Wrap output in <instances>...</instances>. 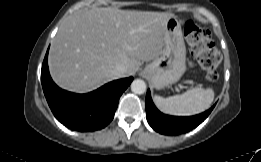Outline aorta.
I'll use <instances>...</instances> for the list:
<instances>
[{
    "label": "aorta",
    "instance_id": "obj_1",
    "mask_svg": "<svg viewBox=\"0 0 261 162\" xmlns=\"http://www.w3.org/2000/svg\"><path fill=\"white\" fill-rule=\"evenodd\" d=\"M131 90L135 94H143L146 91V83L141 79H136L131 83Z\"/></svg>",
    "mask_w": 261,
    "mask_h": 162
}]
</instances>
